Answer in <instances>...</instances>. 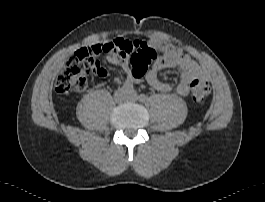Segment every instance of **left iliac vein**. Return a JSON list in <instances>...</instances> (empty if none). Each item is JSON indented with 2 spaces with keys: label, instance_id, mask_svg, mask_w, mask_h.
<instances>
[{
  "label": "left iliac vein",
  "instance_id": "obj_1",
  "mask_svg": "<svg viewBox=\"0 0 265 202\" xmlns=\"http://www.w3.org/2000/svg\"><path fill=\"white\" fill-rule=\"evenodd\" d=\"M129 99L130 100H137V94L133 91V92H129Z\"/></svg>",
  "mask_w": 265,
  "mask_h": 202
}]
</instances>
